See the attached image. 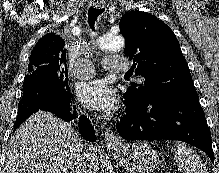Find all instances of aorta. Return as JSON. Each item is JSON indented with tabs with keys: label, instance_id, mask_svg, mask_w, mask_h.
<instances>
[{
	"label": "aorta",
	"instance_id": "obj_1",
	"mask_svg": "<svg viewBox=\"0 0 219 173\" xmlns=\"http://www.w3.org/2000/svg\"><path fill=\"white\" fill-rule=\"evenodd\" d=\"M96 46L105 51H120L125 46V40L120 35H103L97 38Z\"/></svg>",
	"mask_w": 219,
	"mask_h": 173
}]
</instances>
